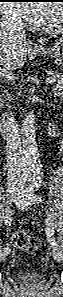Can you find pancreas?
<instances>
[{"label":"pancreas","instance_id":"1","mask_svg":"<svg viewBox=\"0 0 63 297\" xmlns=\"http://www.w3.org/2000/svg\"><path fill=\"white\" fill-rule=\"evenodd\" d=\"M51 77L54 78V87L56 89H61L62 85H63V74L61 72L55 71L52 72Z\"/></svg>","mask_w":63,"mask_h":297}]
</instances>
